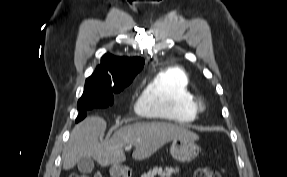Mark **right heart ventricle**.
<instances>
[{
	"label": "right heart ventricle",
	"mask_w": 287,
	"mask_h": 177,
	"mask_svg": "<svg viewBox=\"0 0 287 177\" xmlns=\"http://www.w3.org/2000/svg\"><path fill=\"white\" fill-rule=\"evenodd\" d=\"M195 93L185 70L160 71L146 86L137 110L148 119L184 124L196 117Z\"/></svg>",
	"instance_id": "1"
}]
</instances>
